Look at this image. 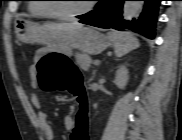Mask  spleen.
I'll list each match as a JSON object with an SVG mask.
<instances>
[{"mask_svg":"<svg viewBox=\"0 0 182 140\" xmlns=\"http://www.w3.org/2000/svg\"><path fill=\"white\" fill-rule=\"evenodd\" d=\"M108 38L114 45L117 57H122L140 46L138 39L130 33L111 31Z\"/></svg>","mask_w":182,"mask_h":140,"instance_id":"obj_1","label":"spleen"}]
</instances>
